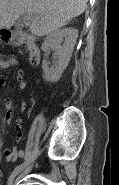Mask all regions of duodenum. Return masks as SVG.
I'll list each match as a JSON object with an SVG mask.
<instances>
[{
  "label": "duodenum",
  "mask_w": 119,
  "mask_h": 185,
  "mask_svg": "<svg viewBox=\"0 0 119 185\" xmlns=\"http://www.w3.org/2000/svg\"><path fill=\"white\" fill-rule=\"evenodd\" d=\"M4 40L11 45H26L31 65H38L40 62V49L32 36L22 32L6 30L3 34Z\"/></svg>",
  "instance_id": "1"
}]
</instances>
